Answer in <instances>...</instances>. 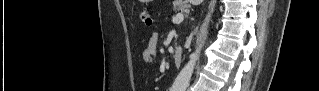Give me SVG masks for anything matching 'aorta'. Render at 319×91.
I'll return each instance as SVG.
<instances>
[{"label":"aorta","mask_w":319,"mask_h":91,"mask_svg":"<svg viewBox=\"0 0 319 91\" xmlns=\"http://www.w3.org/2000/svg\"><path fill=\"white\" fill-rule=\"evenodd\" d=\"M200 48H197L196 51L190 56L189 62L184 66L176 77L173 88L176 91H185L189 86L190 79L192 77L196 61L199 58Z\"/></svg>","instance_id":"762f6f07"}]
</instances>
